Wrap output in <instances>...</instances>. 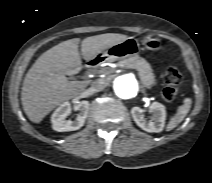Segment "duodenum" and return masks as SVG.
<instances>
[{"instance_id":"410a0bca","label":"duodenum","mask_w":212,"mask_h":183,"mask_svg":"<svg viewBox=\"0 0 212 183\" xmlns=\"http://www.w3.org/2000/svg\"><path fill=\"white\" fill-rule=\"evenodd\" d=\"M101 61H102L101 58H95V59L88 60L86 62V67H87V69H91V68L97 66L98 64H100Z\"/></svg>"}]
</instances>
